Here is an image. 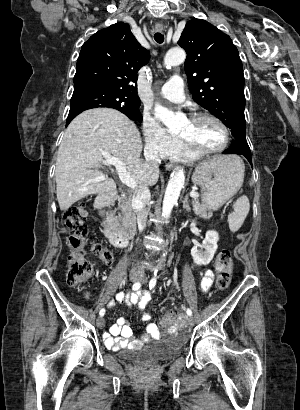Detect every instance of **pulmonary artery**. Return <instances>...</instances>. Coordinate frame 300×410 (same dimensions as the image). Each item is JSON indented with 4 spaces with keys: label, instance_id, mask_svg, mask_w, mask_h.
I'll list each match as a JSON object with an SVG mask.
<instances>
[{
    "label": "pulmonary artery",
    "instance_id": "obj_1",
    "mask_svg": "<svg viewBox=\"0 0 300 410\" xmlns=\"http://www.w3.org/2000/svg\"><path fill=\"white\" fill-rule=\"evenodd\" d=\"M184 81L179 76H172L160 90L162 98L172 102H182L185 99Z\"/></svg>",
    "mask_w": 300,
    "mask_h": 410
}]
</instances>
